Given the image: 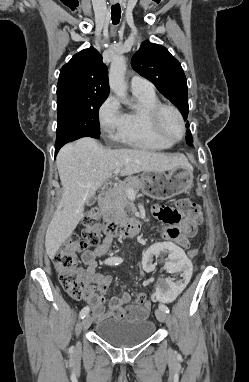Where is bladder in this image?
<instances>
[{"label": "bladder", "mask_w": 249, "mask_h": 382, "mask_svg": "<svg viewBox=\"0 0 249 382\" xmlns=\"http://www.w3.org/2000/svg\"><path fill=\"white\" fill-rule=\"evenodd\" d=\"M155 329L153 321L106 318L96 324V334L103 341L117 348H131L151 337Z\"/></svg>", "instance_id": "31cf9c89"}]
</instances>
